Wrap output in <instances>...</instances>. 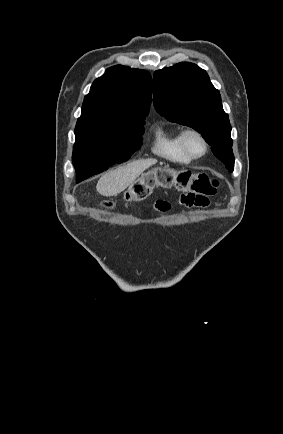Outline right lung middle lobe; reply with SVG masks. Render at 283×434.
<instances>
[{
    "mask_svg": "<svg viewBox=\"0 0 283 434\" xmlns=\"http://www.w3.org/2000/svg\"><path fill=\"white\" fill-rule=\"evenodd\" d=\"M144 121L122 125H76L72 156L76 181L128 160L142 145Z\"/></svg>",
    "mask_w": 283,
    "mask_h": 434,
    "instance_id": "1",
    "label": "right lung middle lobe"
}]
</instances>
